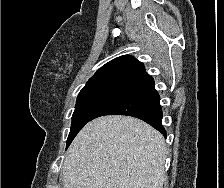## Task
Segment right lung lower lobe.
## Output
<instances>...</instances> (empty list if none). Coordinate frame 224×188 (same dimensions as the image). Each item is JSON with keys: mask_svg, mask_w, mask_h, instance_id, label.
I'll use <instances>...</instances> for the list:
<instances>
[{"mask_svg": "<svg viewBox=\"0 0 224 188\" xmlns=\"http://www.w3.org/2000/svg\"><path fill=\"white\" fill-rule=\"evenodd\" d=\"M103 115H127L139 118L166 136L162 127L160 97L153 78L146 72L131 80L111 97L91 117L90 121Z\"/></svg>", "mask_w": 224, "mask_h": 188, "instance_id": "98d812e1", "label": "right lung lower lobe"}]
</instances>
